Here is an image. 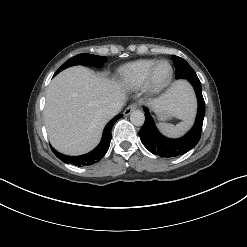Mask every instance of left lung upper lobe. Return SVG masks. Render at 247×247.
Segmentation results:
<instances>
[{
	"mask_svg": "<svg viewBox=\"0 0 247 247\" xmlns=\"http://www.w3.org/2000/svg\"><path fill=\"white\" fill-rule=\"evenodd\" d=\"M172 60L176 68L177 79H189L191 77H197L195 71L183 58L172 55Z\"/></svg>",
	"mask_w": 247,
	"mask_h": 247,
	"instance_id": "5c2ea615",
	"label": "left lung upper lobe"
}]
</instances>
